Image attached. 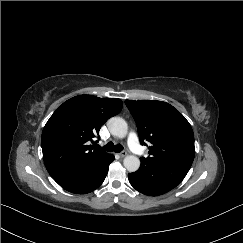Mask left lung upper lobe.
I'll use <instances>...</instances> for the list:
<instances>
[{"label":"left lung upper lobe","instance_id":"5c2ea615","mask_svg":"<svg viewBox=\"0 0 243 243\" xmlns=\"http://www.w3.org/2000/svg\"><path fill=\"white\" fill-rule=\"evenodd\" d=\"M125 104L136 122L140 143H151L150 156L140 159L141 166L176 160L193 162V130L176 108L157 100H125Z\"/></svg>","mask_w":243,"mask_h":243}]
</instances>
